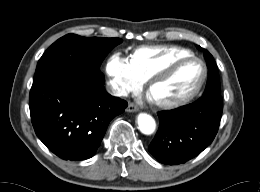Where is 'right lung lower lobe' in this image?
I'll use <instances>...</instances> for the list:
<instances>
[{
	"label": "right lung lower lobe",
	"instance_id": "1",
	"mask_svg": "<svg viewBox=\"0 0 260 192\" xmlns=\"http://www.w3.org/2000/svg\"><path fill=\"white\" fill-rule=\"evenodd\" d=\"M100 70L63 65L33 81L30 114L39 139L64 160L91 158L127 102L104 89Z\"/></svg>",
	"mask_w": 260,
	"mask_h": 192
}]
</instances>
